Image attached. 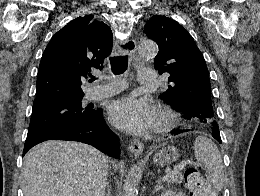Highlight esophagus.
Instances as JSON below:
<instances>
[{
  "instance_id": "1",
  "label": "esophagus",
  "mask_w": 260,
  "mask_h": 196,
  "mask_svg": "<svg viewBox=\"0 0 260 196\" xmlns=\"http://www.w3.org/2000/svg\"><path fill=\"white\" fill-rule=\"evenodd\" d=\"M118 51L121 54H131L136 51V42L133 39H127L120 42L118 46ZM129 152L136 157L142 155L144 151V145L140 141L133 140L129 143L128 146Z\"/></svg>"
}]
</instances>
